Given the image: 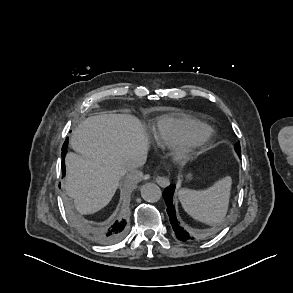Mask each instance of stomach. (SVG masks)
Masks as SVG:
<instances>
[{
  "mask_svg": "<svg viewBox=\"0 0 293 293\" xmlns=\"http://www.w3.org/2000/svg\"><path fill=\"white\" fill-rule=\"evenodd\" d=\"M186 177H187V179L190 180L192 178V174L191 173H188Z\"/></svg>",
  "mask_w": 293,
  "mask_h": 293,
  "instance_id": "obj_1",
  "label": "stomach"
}]
</instances>
